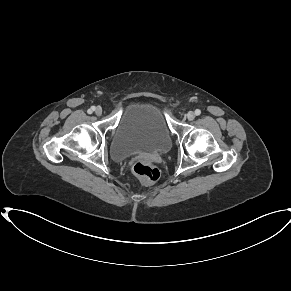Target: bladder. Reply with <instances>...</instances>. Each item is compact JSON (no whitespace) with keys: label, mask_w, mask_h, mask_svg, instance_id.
I'll return each mask as SVG.
<instances>
[{"label":"bladder","mask_w":291,"mask_h":291,"mask_svg":"<svg viewBox=\"0 0 291 291\" xmlns=\"http://www.w3.org/2000/svg\"><path fill=\"white\" fill-rule=\"evenodd\" d=\"M172 133L161 106L152 99L135 100L123 113L110 143V155L122 160L135 154L167 151Z\"/></svg>","instance_id":"obj_1"}]
</instances>
